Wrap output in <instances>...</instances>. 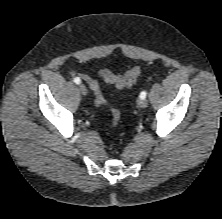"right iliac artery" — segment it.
Returning <instances> with one entry per match:
<instances>
[{
  "label": "right iliac artery",
  "instance_id": "1",
  "mask_svg": "<svg viewBox=\"0 0 222 219\" xmlns=\"http://www.w3.org/2000/svg\"><path fill=\"white\" fill-rule=\"evenodd\" d=\"M74 82H75L76 84H80V83H81V79H80L79 77H75V78H74Z\"/></svg>",
  "mask_w": 222,
  "mask_h": 219
}]
</instances>
